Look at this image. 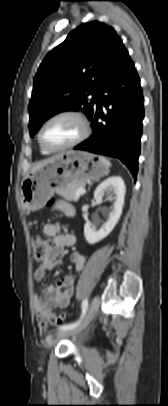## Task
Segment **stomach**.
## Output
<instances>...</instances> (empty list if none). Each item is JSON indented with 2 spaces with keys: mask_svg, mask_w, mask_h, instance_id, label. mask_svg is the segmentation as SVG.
Segmentation results:
<instances>
[{
  "mask_svg": "<svg viewBox=\"0 0 168 406\" xmlns=\"http://www.w3.org/2000/svg\"><path fill=\"white\" fill-rule=\"evenodd\" d=\"M101 157L85 151H66L48 165L31 172L21 184V203L27 211L42 208L54 192L72 184H84L107 175Z\"/></svg>",
  "mask_w": 168,
  "mask_h": 406,
  "instance_id": "0dacf381",
  "label": "stomach"
}]
</instances>
